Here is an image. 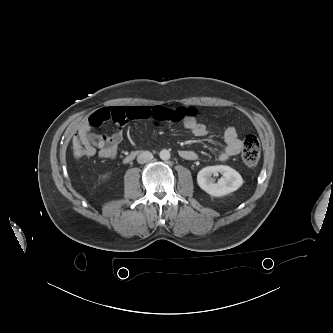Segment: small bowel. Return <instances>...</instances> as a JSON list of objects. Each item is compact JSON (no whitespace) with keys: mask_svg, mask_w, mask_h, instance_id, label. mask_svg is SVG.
<instances>
[{"mask_svg":"<svg viewBox=\"0 0 333 333\" xmlns=\"http://www.w3.org/2000/svg\"><path fill=\"white\" fill-rule=\"evenodd\" d=\"M153 120L157 123H182L183 127L196 137L207 135V128L197 120L196 112L189 107L168 108L164 106H116L97 110L81 125L77 137L85 149L86 156L97 155L101 159H114L123 140L122 129L132 120ZM111 122L115 131L102 135L91 130ZM224 147L219 160L225 161L240 153L242 142L233 126L223 132ZM182 158L193 160L196 154L191 150H182Z\"/></svg>","mask_w":333,"mask_h":333,"instance_id":"c3829d8e","label":"small bowel"}]
</instances>
